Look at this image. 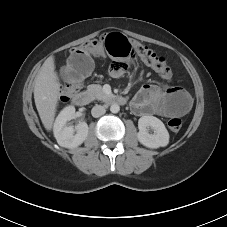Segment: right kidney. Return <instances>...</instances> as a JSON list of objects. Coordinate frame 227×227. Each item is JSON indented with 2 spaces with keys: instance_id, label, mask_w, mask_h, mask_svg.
<instances>
[{
  "instance_id": "obj_1",
  "label": "right kidney",
  "mask_w": 227,
  "mask_h": 227,
  "mask_svg": "<svg viewBox=\"0 0 227 227\" xmlns=\"http://www.w3.org/2000/svg\"><path fill=\"white\" fill-rule=\"evenodd\" d=\"M75 117V108L73 106L65 107L57 116L53 132L54 136L61 147L76 148L81 145L88 136V125L80 122L74 129L68 126L67 122ZM76 134L74 135V132Z\"/></svg>"
}]
</instances>
